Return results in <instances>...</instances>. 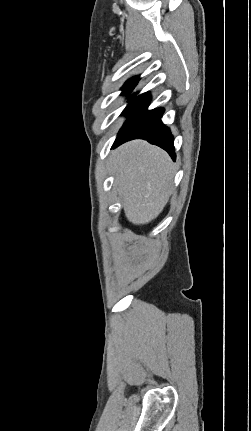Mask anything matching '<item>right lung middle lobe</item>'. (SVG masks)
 Here are the masks:
<instances>
[{"label":"right lung middle lobe","mask_w":251,"mask_h":431,"mask_svg":"<svg viewBox=\"0 0 251 431\" xmlns=\"http://www.w3.org/2000/svg\"><path fill=\"white\" fill-rule=\"evenodd\" d=\"M137 82H138L137 77H134V78L130 79L129 81H127L123 87V93L129 94L133 90V88L136 86Z\"/></svg>","instance_id":"dd1d6c3e"}]
</instances>
